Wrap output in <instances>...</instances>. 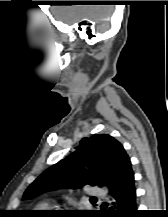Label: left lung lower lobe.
Instances as JSON below:
<instances>
[{"mask_svg": "<svg viewBox=\"0 0 168 217\" xmlns=\"http://www.w3.org/2000/svg\"><path fill=\"white\" fill-rule=\"evenodd\" d=\"M128 170L129 173L123 184L110 190V195L114 198V204L117 208V210L106 213L110 216L135 217L137 214L136 188L134 184V173L132 171L131 165Z\"/></svg>", "mask_w": 168, "mask_h": 217, "instance_id": "0a47b994", "label": "left lung lower lobe"}]
</instances>
